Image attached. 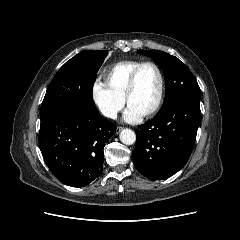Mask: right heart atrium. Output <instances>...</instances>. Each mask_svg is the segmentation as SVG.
<instances>
[{"label": "right heart atrium", "instance_id": "1", "mask_svg": "<svg viewBox=\"0 0 240 240\" xmlns=\"http://www.w3.org/2000/svg\"><path fill=\"white\" fill-rule=\"evenodd\" d=\"M91 98L101 114L110 119H114L125 104L124 97L99 79L95 80L91 86Z\"/></svg>", "mask_w": 240, "mask_h": 240}]
</instances>
